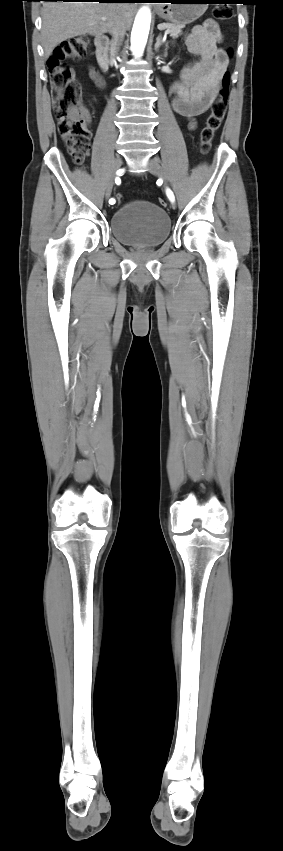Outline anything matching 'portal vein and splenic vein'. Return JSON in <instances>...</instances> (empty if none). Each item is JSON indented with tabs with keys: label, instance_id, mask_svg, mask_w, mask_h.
<instances>
[{
	"label": "portal vein and splenic vein",
	"instance_id": "portal-vein-and-splenic-vein-1",
	"mask_svg": "<svg viewBox=\"0 0 283 851\" xmlns=\"http://www.w3.org/2000/svg\"><path fill=\"white\" fill-rule=\"evenodd\" d=\"M101 20L105 21V20H106V18H105V17H102V18H101ZM168 33H169V32L166 30V31H165V34H168Z\"/></svg>",
	"mask_w": 283,
	"mask_h": 851
}]
</instances>
